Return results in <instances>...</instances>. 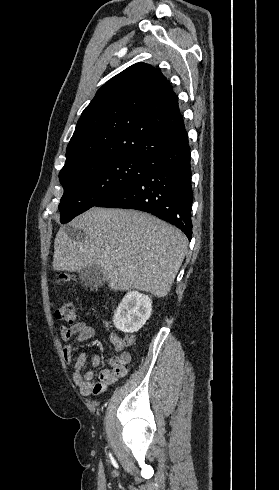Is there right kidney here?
Returning a JSON list of instances; mask_svg holds the SVG:
<instances>
[{
	"label": "right kidney",
	"mask_w": 279,
	"mask_h": 490,
	"mask_svg": "<svg viewBox=\"0 0 279 490\" xmlns=\"http://www.w3.org/2000/svg\"><path fill=\"white\" fill-rule=\"evenodd\" d=\"M152 314V300L140 292H127L114 312L115 328L125 334H133L143 328Z\"/></svg>",
	"instance_id": "ca27d5eb"
}]
</instances>
